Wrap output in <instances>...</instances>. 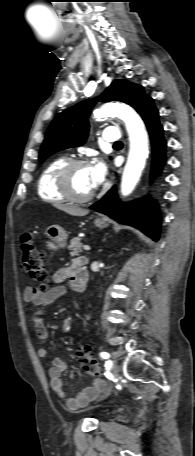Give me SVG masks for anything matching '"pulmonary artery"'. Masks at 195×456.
<instances>
[{
  "instance_id": "obj_1",
  "label": "pulmonary artery",
  "mask_w": 195,
  "mask_h": 456,
  "mask_svg": "<svg viewBox=\"0 0 195 456\" xmlns=\"http://www.w3.org/2000/svg\"><path fill=\"white\" fill-rule=\"evenodd\" d=\"M103 139L106 142H118L120 140V132L116 127H108L103 132Z\"/></svg>"
}]
</instances>
